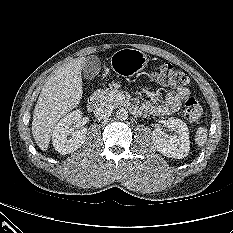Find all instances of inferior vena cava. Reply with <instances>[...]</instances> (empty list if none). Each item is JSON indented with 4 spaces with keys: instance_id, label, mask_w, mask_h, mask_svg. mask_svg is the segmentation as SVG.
<instances>
[{
    "instance_id": "obj_1",
    "label": "inferior vena cava",
    "mask_w": 233,
    "mask_h": 233,
    "mask_svg": "<svg viewBox=\"0 0 233 233\" xmlns=\"http://www.w3.org/2000/svg\"><path fill=\"white\" fill-rule=\"evenodd\" d=\"M113 113V108L105 103L99 104L94 110L95 117L99 119H106L110 117Z\"/></svg>"
}]
</instances>
